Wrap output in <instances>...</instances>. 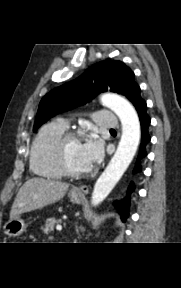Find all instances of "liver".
<instances>
[{
  "instance_id": "6515ba94",
  "label": "liver",
  "mask_w": 181,
  "mask_h": 288,
  "mask_svg": "<svg viewBox=\"0 0 181 288\" xmlns=\"http://www.w3.org/2000/svg\"><path fill=\"white\" fill-rule=\"evenodd\" d=\"M68 188L69 184L60 181L39 177L28 179L17 193L11 207L10 218L59 201Z\"/></svg>"
}]
</instances>
